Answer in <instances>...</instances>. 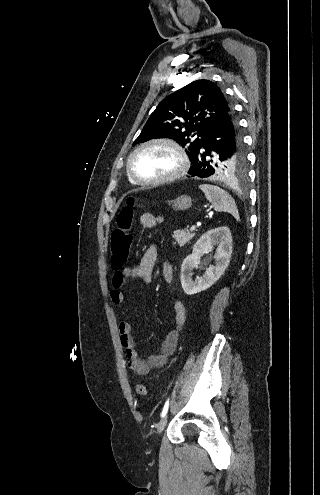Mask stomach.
Listing matches in <instances>:
<instances>
[{
    "instance_id": "stomach-1",
    "label": "stomach",
    "mask_w": 320,
    "mask_h": 495,
    "mask_svg": "<svg viewBox=\"0 0 320 495\" xmlns=\"http://www.w3.org/2000/svg\"><path fill=\"white\" fill-rule=\"evenodd\" d=\"M173 208L177 210H186L192 206V199L188 195H181L175 200L171 201Z\"/></svg>"
}]
</instances>
